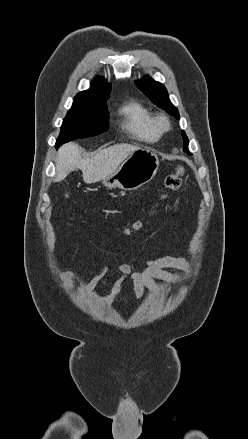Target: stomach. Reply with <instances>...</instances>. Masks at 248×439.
<instances>
[{
    "label": "stomach",
    "instance_id": "stomach-1",
    "mask_svg": "<svg viewBox=\"0 0 248 439\" xmlns=\"http://www.w3.org/2000/svg\"><path fill=\"white\" fill-rule=\"evenodd\" d=\"M158 167V156L149 149L140 148L129 155L114 173L104 178L103 185L109 189L136 190L153 179Z\"/></svg>",
    "mask_w": 248,
    "mask_h": 439
}]
</instances>
